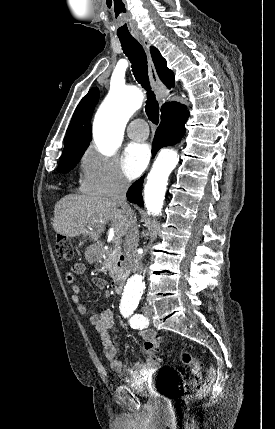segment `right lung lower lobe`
I'll use <instances>...</instances> for the list:
<instances>
[{"label": "right lung lower lobe", "mask_w": 275, "mask_h": 429, "mask_svg": "<svg viewBox=\"0 0 275 429\" xmlns=\"http://www.w3.org/2000/svg\"><path fill=\"white\" fill-rule=\"evenodd\" d=\"M189 117L187 107L180 103H175L170 110L161 117V123L156 130L154 143L152 148L153 156L157 151L165 146L174 145L181 140L185 133V123ZM143 179L141 177L128 190L127 198L130 202L143 207L142 186Z\"/></svg>", "instance_id": "right-lung-lower-lobe-1"}]
</instances>
